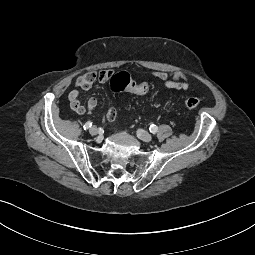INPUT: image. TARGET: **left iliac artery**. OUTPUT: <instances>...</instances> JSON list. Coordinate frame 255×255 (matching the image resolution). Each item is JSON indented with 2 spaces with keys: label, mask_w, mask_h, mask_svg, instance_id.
<instances>
[{
  "label": "left iliac artery",
  "mask_w": 255,
  "mask_h": 255,
  "mask_svg": "<svg viewBox=\"0 0 255 255\" xmlns=\"http://www.w3.org/2000/svg\"><path fill=\"white\" fill-rule=\"evenodd\" d=\"M151 133H156L158 131V127L156 125H151L149 128Z\"/></svg>",
  "instance_id": "obj_1"
}]
</instances>
